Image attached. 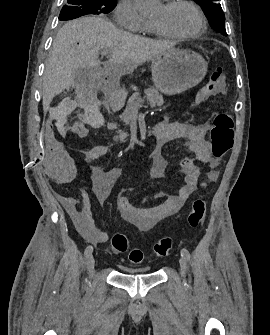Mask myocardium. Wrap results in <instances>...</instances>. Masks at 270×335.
Instances as JSON below:
<instances>
[{"mask_svg": "<svg viewBox=\"0 0 270 335\" xmlns=\"http://www.w3.org/2000/svg\"><path fill=\"white\" fill-rule=\"evenodd\" d=\"M181 4H186V5L190 6L196 12V14L198 15V18L200 20V28L197 31L192 32V33H187V34H176V33L168 32V31L162 29L161 27H159L157 24L152 22L153 27L162 36L168 37V38L179 39V40H189V39H194V38L199 37L200 35H202L205 32V30L207 28V24H206V19H205L203 13L201 12V10L198 8V6L194 2H192L190 0H177V1H174V2H171V3L167 4L166 6L169 10H172L175 7H177L178 5H181ZM181 52H193V51L184 50V51H181ZM195 78H202V77H195Z\"/></svg>", "mask_w": 270, "mask_h": 335, "instance_id": "obj_1", "label": "myocardium"}]
</instances>
